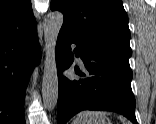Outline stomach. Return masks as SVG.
I'll return each instance as SVG.
<instances>
[{"label": "stomach", "instance_id": "1", "mask_svg": "<svg viewBox=\"0 0 156 124\" xmlns=\"http://www.w3.org/2000/svg\"><path fill=\"white\" fill-rule=\"evenodd\" d=\"M72 124H112L105 116H98L92 119L75 120Z\"/></svg>", "mask_w": 156, "mask_h": 124}]
</instances>
